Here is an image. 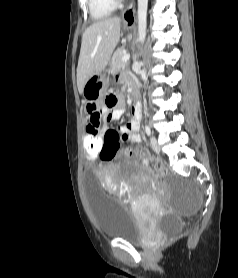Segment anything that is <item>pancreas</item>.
Wrapping results in <instances>:
<instances>
[{
    "instance_id": "1",
    "label": "pancreas",
    "mask_w": 238,
    "mask_h": 278,
    "mask_svg": "<svg viewBox=\"0 0 238 278\" xmlns=\"http://www.w3.org/2000/svg\"><path fill=\"white\" fill-rule=\"evenodd\" d=\"M124 50L123 48H118L111 59V67H110V71L112 74L118 72L123 66H124V62H122V58L124 56Z\"/></svg>"
}]
</instances>
